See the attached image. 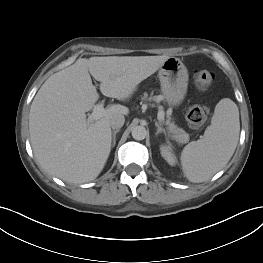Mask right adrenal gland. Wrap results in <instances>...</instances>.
I'll use <instances>...</instances> for the list:
<instances>
[{"mask_svg": "<svg viewBox=\"0 0 263 263\" xmlns=\"http://www.w3.org/2000/svg\"><path fill=\"white\" fill-rule=\"evenodd\" d=\"M119 131H120V129H116V130L113 131V137H112V138H113V139H112V140H113V141H112L113 143H112V147H114L115 144H116V134H117Z\"/></svg>", "mask_w": 263, "mask_h": 263, "instance_id": "right-adrenal-gland-1", "label": "right adrenal gland"}]
</instances>
